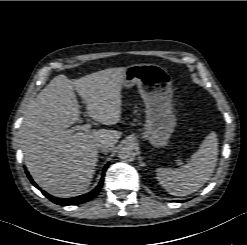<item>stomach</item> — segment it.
Segmentation results:
<instances>
[{
  "instance_id": "obj_1",
  "label": "stomach",
  "mask_w": 247,
  "mask_h": 245,
  "mask_svg": "<svg viewBox=\"0 0 247 245\" xmlns=\"http://www.w3.org/2000/svg\"><path fill=\"white\" fill-rule=\"evenodd\" d=\"M137 85L146 107L143 138L155 148L164 147L176 127L172 111V82L167 70L156 64H133L125 67V87Z\"/></svg>"
}]
</instances>
